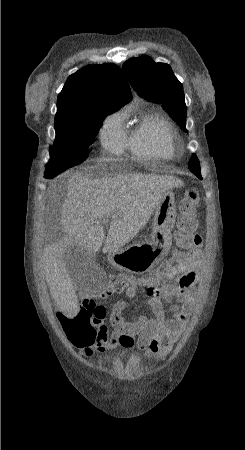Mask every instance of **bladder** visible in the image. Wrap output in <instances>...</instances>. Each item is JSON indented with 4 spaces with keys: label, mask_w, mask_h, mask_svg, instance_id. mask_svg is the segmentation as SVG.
Listing matches in <instances>:
<instances>
[{
    "label": "bladder",
    "mask_w": 245,
    "mask_h": 450,
    "mask_svg": "<svg viewBox=\"0 0 245 450\" xmlns=\"http://www.w3.org/2000/svg\"><path fill=\"white\" fill-rule=\"evenodd\" d=\"M131 356H132V352H128V353L116 352L105 358V364L108 367H113L115 365H118L123 358L129 359V358H131Z\"/></svg>",
    "instance_id": "obj_1"
}]
</instances>
